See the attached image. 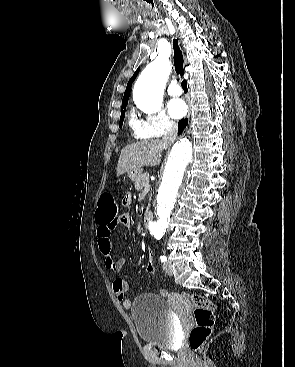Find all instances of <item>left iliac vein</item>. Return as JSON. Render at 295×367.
<instances>
[{
	"label": "left iliac vein",
	"instance_id": "obj_1",
	"mask_svg": "<svg viewBox=\"0 0 295 367\" xmlns=\"http://www.w3.org/2000/svg\"><path fill=\"white\" fill-rule=\"evenodd\" d=\"M163 270L165 271L166 274H168L170 276L173 274L172 269L170 267V263H168V262H165L163 264Z\"/></svg>",
	"mask_w": 295,
	"mask_h": 367
}]
</instances>
